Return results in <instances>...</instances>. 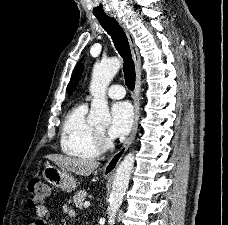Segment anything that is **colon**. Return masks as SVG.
Returning a JSON list of instances; mask_svg holds the SVG:
<instances>
[{"instance_id":"obj_1","label":"colon","mask_w":228,"mask_h":225,"mask_svg":"<svg viewBox=\"0 0 228 225\" xmlns=\"http://www.w3.org/2000/svg\"><path fill=\"white\" fill-rule=\"evenodd\" d=\"M49 188L39 178H33L27 185V202L30 208H41L48 196Z\"/></svg>"}]
</instances>
